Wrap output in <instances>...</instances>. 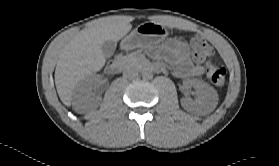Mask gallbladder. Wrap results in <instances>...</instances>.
<instances>
[{
    "label": "gallbladder",
    "instance_id": "1",
    "mask_svg": "<svg viewBox=\"0 0 279 166\" xmlns=\"http://www.w3.org/2000/svg\"><path fill=\"white\" fill-rule=\"evenodd\" d=\"M116 46H117V44L113 40L105 41L101 45V50L103 52L104 57L105 58L111 57L113 55V53L115 52Z\"/></svg>",
    "mask_w": 279,
    "mask_h": 166
}]
</instances>
